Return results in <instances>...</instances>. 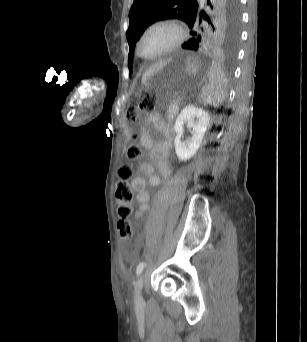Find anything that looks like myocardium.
<instances>
[{
    "mask_svg": "<svg viewBox=\"0 0 307 342\" xmlns=\"http://www.w3.org/2000/svg\"><path fill=\"white\" fill-rule=\"evenodd\" d=\"M157 24H167L171 26L175 32V38L173 42L167 48H165L163 51H161L157 55L153 57H145L141 52V42H142L143 36L149 28ZM184 38H185V34L183 31V28L176 19L170 18V17H158L148 22L144 26V28L141 30L140 35L138 37V41H137V53L142 59L146 61H154L178 49L183 44Z\"/></svg>",
    "mask_w": 307,
    "mask_h": 342,
    "instance_id": "myocardium-1",
    "label": "myocardium"
}]
</instances>
